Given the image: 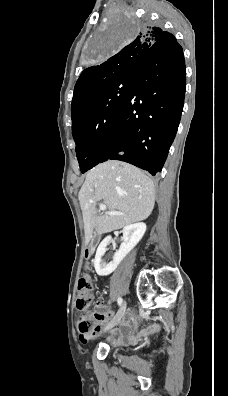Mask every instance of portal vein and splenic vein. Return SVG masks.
I'll use <instances>...</instances> for the list:
<instances>
[{"label":"portal vein and splenic vein","mask_w":228,"mask_h":396,"mask_svg":"<svg viewBox=\"0 0 228 396\" xmlns=\"http://www.w3.org/2000/svg\"><path fill=\"white\" fill-rule=\"evenodd\" d=\"M99 208H100L101 211L105 212L108 215H119V216L123 215V213L118 212V211H106L107 207L103 203L99 204Z\"/></svg>","instance_id":"18ae733b"}]
</instances>
